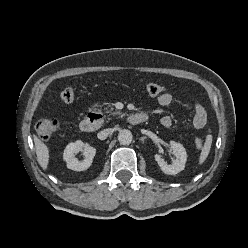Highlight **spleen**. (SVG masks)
<instances>
[{"label": "spleen", "instance_id": "3e777b00", "mask_svg": "<svg viewBox=\"0 0 248 248\" xmlns=\"http://www.w3.org/2000/svg\"><path fill=\"white\" fill-rule=\"evenodd\" d=\"M211 144H212V135H207L204 147L199 157V165H202L206 161L210 152Z\"/></svg>", "mask_w": 248, "mask_h": 248}]
</instances>
